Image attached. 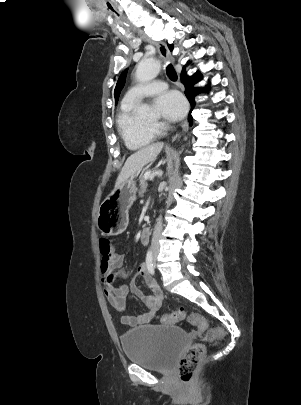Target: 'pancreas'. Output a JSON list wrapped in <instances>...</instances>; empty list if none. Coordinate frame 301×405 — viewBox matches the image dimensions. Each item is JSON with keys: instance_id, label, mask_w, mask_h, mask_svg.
Returning <instances> with one entry per match:
<instances>
[{"instance_id": "pancreas-1", "label": "pancreas", "mask_w": 301, "mask_h": 405, "mask_svg": "<svg viewBox=\"0 0 301 405\" xmlns=\"http://www.w3.org/2000/svg\"><path fill=\"white\" fill-rule=\"evenodd\" d=\"M147 186H148V184H147V179L143 176L141 179H140V190H139V196H143L144 195V193L146 192V190H147Z\"/></svg>"}]
</instances>
